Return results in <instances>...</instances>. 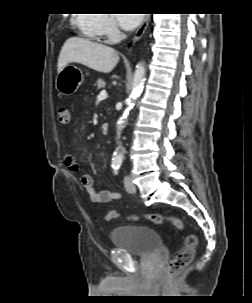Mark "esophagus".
I'll return each mask as SVG.
<instances>
[{
	"mask_svg": "<svg viewBox=\"0 0 252 303\" xmlns=\"http://www.w3.org/2000/svg\"><path fill=\"white\" fill-rule=\"evenodd\" d=\"M150 21V15L149 14H145V17L141 23V25L139 26L138 30L136 31L134 38H133V43L137 42L138 40L141 39V37L143 36L146 28L148 27Z\"/></svg>",
	"mask_w": 252,
	"mask_h": 303,
	"instance_id": "obj_1",
	"label": "esophagus"
}]
</instances>
